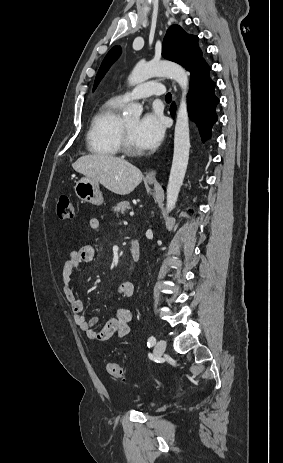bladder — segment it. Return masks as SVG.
Instances as JSON below:
<instances>
[{
  "label": "bladder",
  "instance_id": "obj_1",
  "mask_svg": "<svg viewBox=\"0 0 283 463\" xmlns=\"http://www.w3.org/2000/svg\"><path fill=\"white\" fill-rule=\"evenodd\" d=\"M151 405H152L151 403H145V404H144V407H145V408H149Z\"/></svg>",
  "mask_w": 283,
  "mask_h": 463
}]
</instances>
